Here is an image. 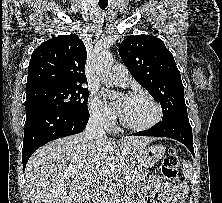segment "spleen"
Returning a JSON list of instances; mask_svg holds the SVG:
<instances>
[{"label":"spleen","instance_id":"1","mask_svg":"<svg viewBox=\"0 0 222 203\" xmlns=\"http://www.w3.org/2000/svg\"><path fill=\"white\" fill-rule=\"evenodd\" d=\"M183 174L187 180H191L193 177V167L190 161H186L183 164Z\"/></svg>","mask_w":222,"mask_h":203}]
</instances>
